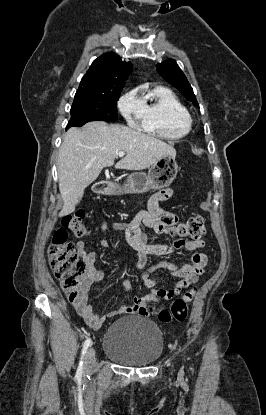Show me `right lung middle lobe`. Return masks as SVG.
Wrapping results in <instances>:
<instances>
[{"instance_id": "obj_1", "label": "right lung middle lobe", "mask_w": 266, "mask_h": 415, "mask_svg": "<svg viewBox=\"0 0 266 415\" xmlns=\"http://www.w3.org/2000/svg\"><path fill=\"white\" fill-rule=\"evenodd\" d=\"M120 92L109 95L75 94L66 129L82 126L90 121L112 122L117 119V101Z\"/></svg>"}]
</instances>
